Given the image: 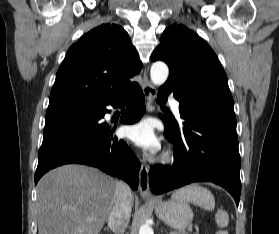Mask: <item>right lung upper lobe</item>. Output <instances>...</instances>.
I'll return each instance as SVG.
<instances>
[{"mask_svg": "<svg viewBox=\"0 0 279 234\" xmlns=\"http://www.w3.org/2000/svg\"><path fill=\"white\" fill-rule=\"evenodd\" d=\"M142 63L127 32L116 24H102L73 44L50 93L48 108L109 104L134 83Z\"/></svg>", "mask_w": 279, "mask_h": 234, "instance_id": "cb5924a9", "label": "right lung upper lobe"}]
</instances>
